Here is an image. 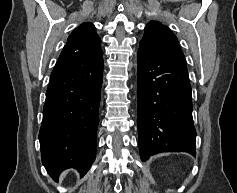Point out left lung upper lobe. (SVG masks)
<instances>
[{
	"label": "left lung upper lobe",
	"mask_w": 237,
	"mask_h": 193,
	"mask_svg": "<svg viewBox=\"0 0 237 193\" xmlns=\"http://www.w3.org/2000/svg\"><path fill=\"white\" fill-rule=\"evenodd\" d=\"M140 43L148 45L158 52L186 64L177 37L167 26L160 22L150 21L147 24Z\"/></svg>",
	"instance_id": "left-lung-upper-lobe-1"
}]
</instances>
